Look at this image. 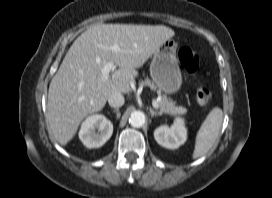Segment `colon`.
<instances>
[{
    "label": "colon",
    "instance_id": "5ec220e1",
    "mask_svg": "<svg viewBox=\"0 0 272 198\" xmlns=\"http://www.w3.org/2000/svg\"><path fill=\"white\" fill-rule=\"evenodd\" d=\"M178 58L183 69L188 73H194L199 68V57L193 49L182 46L178 51ZM212 90L202 86L197 89L196 97L200 104H207L212 100Z\"/></svg>",
    "mask_w": 272,
    "mask_h": 198
}]
</instances>
